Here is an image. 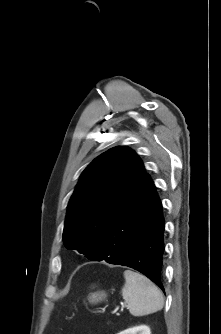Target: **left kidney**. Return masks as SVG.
I'll return each instance as SVG.
<instances>
[{
    "label": "left kidney",
    "mask_w": 221,
    "mask_h": 334,
    "mask_svg": "<svg viewBox=\"0 0 221 334\" xmlns=\"http://www.w3.org/2000/svg\"><path fill=\"white\" fill-rule=\"evenodd\" d=\"M118 334H151L150 328L146 325L126 329Z\"/></svg>",
    "instance_id": "left-kidney-1"
}]
</instances>
